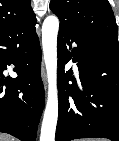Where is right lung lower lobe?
<instances>
[{
  "mask_svg": "<svg viewBox=\"0 0 119 141\" xmlns=\"http://www.w3.org/2000/svg\"><path fill=\"white\" fill-rule=\"evenodd\" d=\"M35 24L0 37V132L21 141H35L44 106L41 49ZM10 64L16 67V78L3 75Z\"/></svg>",
  "mask_w": 119,
  "mask_h": 141,
  "instance_id": "obj_1",
  "label": "right lung lower lobe"
}]
</instances>
